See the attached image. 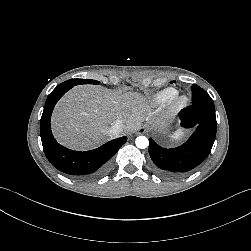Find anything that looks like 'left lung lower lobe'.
I'll use <instances>...</instances> for the list:
<instances>
[{
	"label": "left lung lower lobe",
	"mask_w": 251,
	"mask_h": 251,
	"mask_svg": "<svg viewBox=\"0 0 251 251\" xmlns=\"http://www.w3.org/2000/svg\"><path fill=\"white\" fill-rule=\"evenodd\" d=\"M181 125L185 128L197 126V129L187 142L177 148L165 149L150 139L149 153L156 171L171 178L192 170L210 153L217 128L213 102L193 100V106L187 110Z\"/></svg>",
	"instance_id": "0a47b994"
}]
</instances>
